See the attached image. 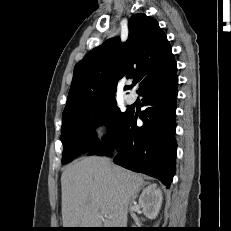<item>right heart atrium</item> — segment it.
<instances>
[{"label": "right heart atrium", "mask_w": 231, "mask_h": 231, "mask_svg": "<svg viewBox=\"0 0 231 231\" xmlns=\"http://www.w3.org/2000/svg\"><path fill=\"white\" fill-rule=\"evenodd\" d=\"M111 127V122L108 119H99L92 128L94 137L99 140L102 139Z\"/></svg>", "instance_id": "right-heart-atrium-1"}]
</instances>
